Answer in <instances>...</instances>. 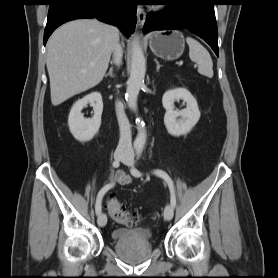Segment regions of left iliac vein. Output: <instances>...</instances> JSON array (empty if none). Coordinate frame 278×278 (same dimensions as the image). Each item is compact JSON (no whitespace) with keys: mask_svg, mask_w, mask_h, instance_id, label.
Masks as SVG:
<instances>
[{"mask_svg":"<svg viewBox=\"0 0 278 278\" xmlns=\"http://www.w3.org/2000/svg\"><path fill=\"white\" fill-rule=\"evenodd\" d=\"M123 163L127 166H133L134 160L132 155H128L124 160ZM174 215V209L173 206L170 204H167L164 210V218L168 221H170L173 218Z\"/></svg>","mask_w":278,"mask_h":278,"instance_id":"1","label":"left iliac vein"}]
</instances>
